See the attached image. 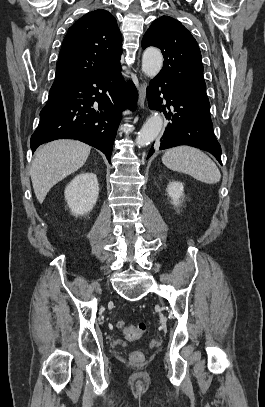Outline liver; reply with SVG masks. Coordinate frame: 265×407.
<instances>
[{
	"mask_svg": "<svg viewBox=\"0 0 265 407\" xmlns=\"http://www.w3.org/2000/svg\"><path fill=\"white\" fill-rule=\"evenodd\" d=\"M91 147L70 139H60L40 147L31 167L33 189L39 203H42L50 189L81 168L86 162Z\"/></svg>",
	"mask_w": 265,
	"mask_h": 407,
	"instance_id": "liver-1",
	"label": "liver"
}]
</instances>
